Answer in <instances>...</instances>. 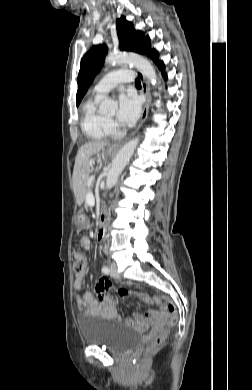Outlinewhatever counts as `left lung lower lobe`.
<instances>
[{"mask_svg":"<svg viewBox=\"0 0 252 390\" xmlns=\"http://www.w3.org/2000/svg\"><path fill=\"white\" fill-rule=\"evenodd\" d=\"M147 56H149L158 66V68L161 70L162 74L164 76L165 75V72H164V64H163V61H159L158 59V53L155 49H152L148 52Z\"/></svg>","mask_w":252,"mask_h":390,"instance_id":"1","label":"left lung lower lobe"}]
</instances>
